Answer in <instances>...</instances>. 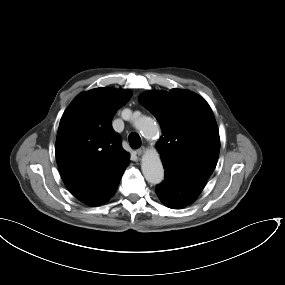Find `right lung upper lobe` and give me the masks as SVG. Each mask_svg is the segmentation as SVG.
<instances>
[{
    "label": "right lung upper lobe",
    "mask_w": 285,
    "mask_h": 285,
    "mask_svg": "<svg viewBox=\"0 0 285 285\" xmlns=\"http://www.w3.org/2000/svg\"><path fill=\"white\" fill-rule=\"evenodd\" d=\"M130 90L96 88L80 93L64 112L56 139V161L69 191L87 205L105 203L116 192L130 155L111 125Z\"/></svg>",
    "instance_id": "right-lung-upper-lobe-1"
}]
</instances>
